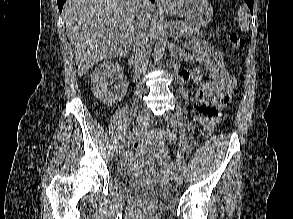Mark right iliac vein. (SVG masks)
<instances>
[{"instance_id":"obj_1","label":"right iliac vein","mask_w":293,"mask_h":219,"mask_svg":"<svg viewBox=\"0 0 293 219\" xmlns=\"http://www.w3.org/2000/svg\"><path fill=\"white\" fill-rule=\"evenodd\" d=\"M150 110L148 108H144L140 114L137 117V122H136V127H141L142 125H144L149 117H150ZM124 146H125V141L122 143H119L116 147V154H120L123 150H124Z\"/></svg>"}]
</instances>
